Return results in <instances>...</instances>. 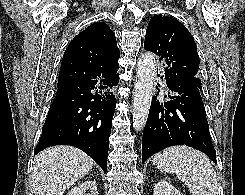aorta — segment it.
Returning a JSON list of instances; mask_svg holds the SVG:
<instances>
[{"mask_svg": "<svg viewBox=\"0 0 245 195\" xmlns=\"http://www.w3.org/2000/svg\"><path fill=\"white\" fill-rule=\"evenodd\" d=\"M155 69L153 53L147 52L140 56L133 92V121L136 131L142 130L146 124L153 96Z\"/></svg>", "mask_w": 245, "mask_h": 195, "instance_id": "obj_1", "label": "aorta"}]
</instances>
